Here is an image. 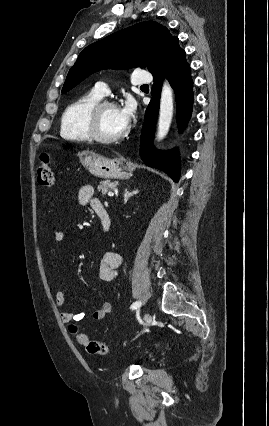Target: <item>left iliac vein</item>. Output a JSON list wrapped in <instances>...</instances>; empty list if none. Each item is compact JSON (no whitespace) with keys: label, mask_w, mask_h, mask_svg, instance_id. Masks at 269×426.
Listing matches in <instances>:
<instances>
[{"label":"left iliac vein","mask_w":269,"mask_h":426,"mask_svg":"<svg viewBox=\"0 0 269 426\" xmlns=\"http://www.w3.org/2000/svg\"><path fill=\"white\" fill-rule=\"evenodd\" d=\"M144 325L147 326L151 322V316L150 314L146 313L143 317Z\"/></svg>","instance_id":"1"}]
</instances>
